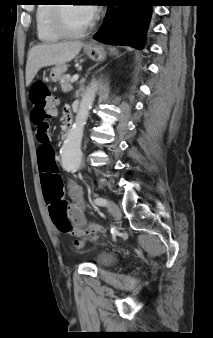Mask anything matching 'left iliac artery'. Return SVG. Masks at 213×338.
I'll return each instance as SVG.
<instances>
[{
    "label": "left iliac artery",
    "instance_id": "44dca946",
    "mask_svg": "<svg viewBox=\"0 0 213 338\" xmlns=\"http://www.w3.org/2000/svg\"><path fill=\"white\" fill-rule=\"evenodd\" d=\"M94 203L98 206H106L107 205V201L104 198H101V197L95 198Z\"/></svg>",
    "mask_w": 213,
    "mask_h": 338
}]
</instances>
